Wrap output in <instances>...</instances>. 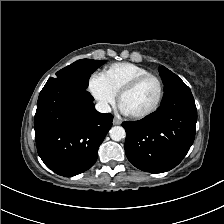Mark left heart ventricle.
<instances>
[{
  "label": "left heart ventricle",
  "mask_w": 224,
  "mask_h": 224,
  "mask_svg": "<svg viewBox=\"0 0 224 224\" xmlns=\"http://www.w3.org/2000/svg\"><path fill=\"white\" fill-rule=\"evenodd\" d=\"M158 93L157 82L154 79H146L125 94L120 101V105L125 108L128 114L141 113L153 106Z\"/></svg>",
  "instance_id": "1"
}]
</instances>
